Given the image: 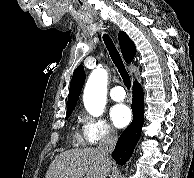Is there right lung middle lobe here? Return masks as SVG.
Masks as SVG:
<instances>
[{
  "label": "right lung middle lobe",
  "instance_id": "1",
  "mask_svg": "<svg viewBox=\"0 0 194 178\" xmlns=\"http://www.w3.org/2000/svg\"><path fill=\"white\" fill-rule=\"evenodd\" d=\"M71 112H72V111L67 112V114H66V119H68V118H69V116L71 115Z\"/></svg>",
  "mask_w": 194,
  "mask_h": 178
}]
</instances>
